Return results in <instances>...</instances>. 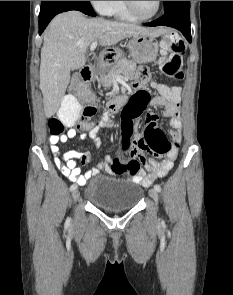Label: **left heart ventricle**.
Listing matches in <instances>:
<instances>
[{
	"mask_svg": "<svg viewBox=\"0 0 233 295\" xmlns=\"http://www.w3.org/2000/svg\"><path fill=\"white\" fill-rule=\"evenodd\" d=\"M138 14L141 16L152 15L157 7V1H133Z\"/></svg>",
	"mask_w": 233,
	"mask_h": 295,
	"instance_id": "obj_1",
	"label": "left heart ventricle"
}]
</instances>
